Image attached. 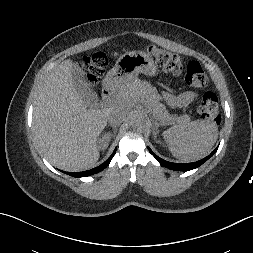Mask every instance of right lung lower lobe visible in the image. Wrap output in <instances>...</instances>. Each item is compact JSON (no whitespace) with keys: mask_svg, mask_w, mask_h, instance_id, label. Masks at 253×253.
<instances>
[{"mask_svg":"<svg viewBox=\"0 0 253 253\" xmlns=\"http://www.w3.org/2000/svg\"><path fill=\"white\" fill-rule=\"evenodd\" d=\"M115 152H116V149L114 150L112 155L103 164H101L100 166H98L96 168H93L91 170L84 171V172H64V173H66L68 175H71L73 177H86V176H90V175H93L95 173H98V172L102 171L103 169H105L109 165V163L112 160Z\"/></svg>","mask_w":253,"mask_h":253,"instance_id":"1","label":"right lung lower lobe"}]
</instances>
